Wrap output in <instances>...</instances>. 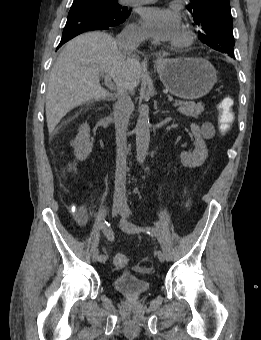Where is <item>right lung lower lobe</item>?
Wrapping results in <instances>:
<instances>
[{"mask_svg":"<svg viewBox=\"0 0 261 340\" xmlns=\"http://www.w3.org/2000/svg\"><path fill=\"white\" fill-rule=\"evenodd\" d=\"M127 17L112 18L111 16H104L98 11L92 9L72 8L69 11L68 19L58 48L82 32L106 30L110 27L123 23Z\"/></svg>","mask_w":261,"mask_h":340,"instance_id":"obj_1","label":"right lung lower lobe"}]
</instances>
